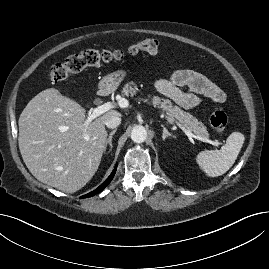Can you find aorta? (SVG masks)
<instances>
[{
  "label": "aorta",
  "instance_id": "aorta-1",
  "mask_svg": "<svg viewBox=\"0 0 269 269\" xmlns=\"http://www.w3.org/2000/svg\"><path fill=\"white\" fill-rule=\"evenodd\" d=\"M146 138H147V131L143 126L138 125L132 129L131 139L133 142L143 143L146 140Z\"/></svg>",
  "mask_w": 269,
  "mask_h": 269
}]
</instances>
